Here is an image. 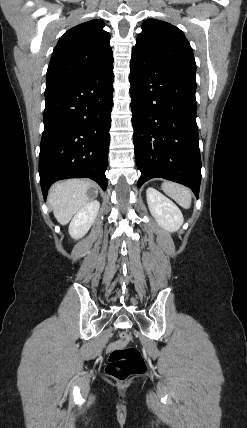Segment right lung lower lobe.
I'll list each match as a JSON object with an SVG mask.
<instances>
[{"label": "right lung lower lobe", "mask_w": 247, "mask_h": 428, "mask_svg": "<svg viewBox=\"0 0 247 428\" xmlns=\"http://www.w3.org/2000/svg\"><path fill=\"white\" fill-rule=\"evenodd\" d=\"M113 58L82 76L46 84L39 173L44 199L52 183L88 177L105 191L113 106Z\"/></svg>", "instance_id": "obj_1"}]
</instances>
